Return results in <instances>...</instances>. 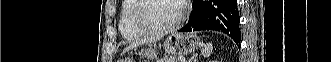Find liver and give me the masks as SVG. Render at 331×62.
<instances>
[{
  "instance_id": "obj_1",
  "label": "liver",
  "mask_w": 331,
  "mask_h": 62,
  "mask_svg": "<svg viewBox=\"0 0 331 62\" xmlns=\"http://www.w3.org/2000/svg\"><path fill=\"white\" fill-rule=\"evenodd\" d=\"M162 38V36H156V37H151V38H144V39H141V40H138L134 43H132L131 45H129L125 51H128V50H131L139 45H142V44H148V43H152V42H156L158 40H160Z\"/></svg>"
}]
</instances>
